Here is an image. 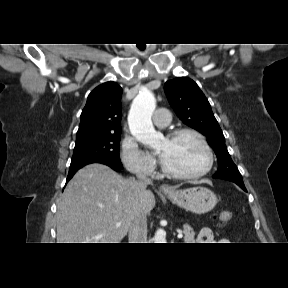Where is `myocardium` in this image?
Masks as SVG:
<instances>
[{
  "label": "myocardium",
  "instance_id": "myocardium-1",
  "mask_svg": "<svg viewBox=\"0 0 288 288\" xmlns=\"http://www.w3.org/2000/svg\"><path fill=\"white\" fill-rule=\"evenodd\" d=\"M184 135L193 136L202 145V147L204 148V150L207 154L206 167L203 170L196 172V173H180V172L169 169L168 167H166L164 165L163 162H161L162 171L165 175H167L169 177L181 179V180H192V179L201 178V177L207 175L213 168V165H214L213 150H212L210 144L208 143V141L206 140V138L204 137V135L201 134L199 131L192 129V128L176 129V130L168 133L167 139L168 140H175V139H177L181 136H184Z\"/></svg>",
  "mask_w": 288,
  "mask_h": 288
}]
</instances>
